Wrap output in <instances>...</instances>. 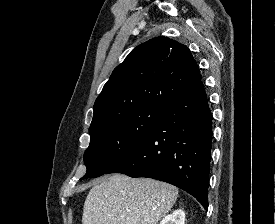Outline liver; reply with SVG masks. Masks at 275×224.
<instances>
[{
	"label": "liver",
	"mask_w": 275,
	"mask_h": 224,
	"mask_svg": "<svg viewBox=\"0 0 275 224\" xmlns=\"http://www.w3.org/2000/svg\"><path fill=\"white\" fill-rule=\"evenodd\" d=\"M177 197L178 189L168 183L114 174L89 191L82 224H157Z\"/></svg>",
	"instance_id": "obj_1"
}]
</instances>
